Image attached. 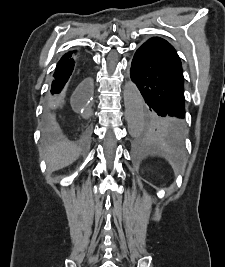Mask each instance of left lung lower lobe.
<instances>
[{"instance_id": "left-lung-lower-lobe-1", "label": "left lung lower lobe", "mask_w": 225, "mask_h": 267, "mask_svg": "<svg viewBox=\"0 0 225 267\" xmlns=\"http://www.w3.org/2000/svg\"><path fill=\"white\" fill-rule=\"evenodd\" d=\"M130 77L149 110L169 119L172 130L182 137L184 77L180 58L173 46L159 37L147 40L134 55Z\"/></svg>"}]
</instances>
